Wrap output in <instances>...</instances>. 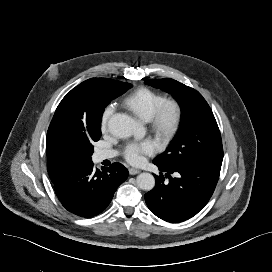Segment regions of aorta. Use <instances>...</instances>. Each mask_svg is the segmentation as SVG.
I'll return each instance as SVG.
<instances>
[{
	"mask_svg": "<svg viewBox=\"0 0 272 272\" xmlns=\"http://www.w3.org/2000/svg\"><path fill=\"white\" fill-rule=\"evenodd\" d=\"M108 129L114 136L126 138L137 132L138 125L131 116L125 113H116L109 118ZM136 183L140 189L150 191L155 186V178L152 174L143 172L137 176Z\"/></svg>",
	"mask_w": 272,
	"mask_h": 272,
	"instance_id": "1",
	"label": "aorta"
}]
</instances>
